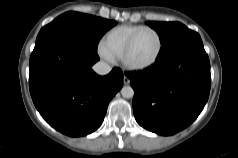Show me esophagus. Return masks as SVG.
I'll return each instance as SVG.
<instances>
[{
	"instance_id": "obj_1",
	"label": "esophagus",
	"mask_w": 238,
	"mask_h": 158,
	"mask_svg": "<svg viewBox=\"0 0 238 158\" xmlns=\"http://www.w3.org/2000/svg\"><path fill=\"white\" fill-rule=\"evenodd\" d=\"M123 82L125 85H128L130 83V79L126 75H124Z\"/></svg>"
}]
</instances>
